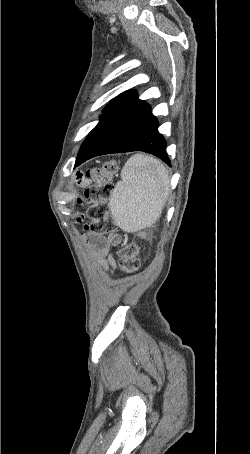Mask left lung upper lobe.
I'll return each instance as SVG.
<instances>
[{"label":"left lung upper lobe","instance_id":"left-lung-upper-lobe-1","mask_svg":"<svg viewBox=\"0 0 250 454\" xmlns=\"http://www.w3.org/2000/svg\"><path fill=\"white\" fill-rule=\"evenodd\" d=\"M136 94L135 91H126L114 98L110 104L106 106L103 110V115L101 116L100 122L98 125L89 133L87 136L85 142L82 144L79 154H82V152L85 150L88 142L96 132V130L99 128V126L113 113L115 112L118 108H120L122 105H124L127 101H129L134 95Z\"/></svg>","mask_w":250,"mask_h":454}]
</instances>
